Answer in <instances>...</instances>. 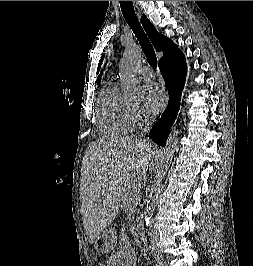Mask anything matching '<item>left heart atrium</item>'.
<instances>
[{
  "label": "left heart atrium",
  "mask_w": 253,
  "mask_h": 266,
  "mask_svg": "<svg viewBox=\"0 0 253 266\" xmlns=\"http://www.w3.org/2000/svg\"><path fill=\"white\" fill-rule=\"evenodd\" d=\"M145 107L151 113L159 112L166 103L165 91L155 83H148L143 87Z\"/></svg>",
  "instance_id": "39dd6f15"
}]
</instances>
